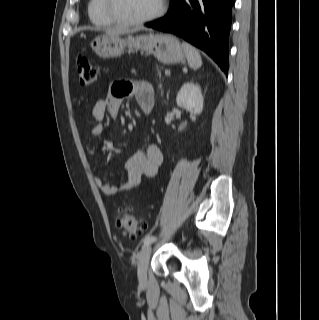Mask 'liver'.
<instances>
[{
  "label": "liver",
  "instance_id": "1",
  "mask_svg": "<svg viewBox=\"0 0 319 320\" xmlns=\"http://www.w3.org/2000/svg\"><path fill=\"white\" fill-rule=\"evenodd\" d=\"M138 29H126V28H112V29H108L106 31L107 34H111V35H116V34H124V33H130V32H135Z\"/></svg>",
  "mask_w": 319,
  "mask_h": 320
}]
</instances>
